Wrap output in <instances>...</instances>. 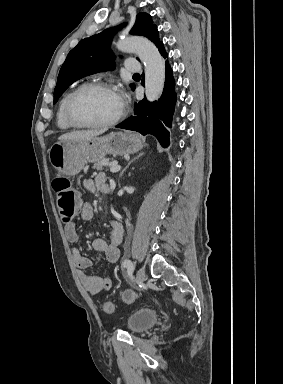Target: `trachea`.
Segmentation results:
<instances>
[{"label":"trachea","instance_id":"obj_1","mask_svg":"<svg viewBox=\"0 0 283 384\" xmlns=\"http://www.w3.org/2000/svg\"><path fill=\"white\" fill-rule=\"evenodd\" d=\"M134 76H139V73H134Z\"/></svg>","mask_w":283,"mask_h":384}]
</instances>
